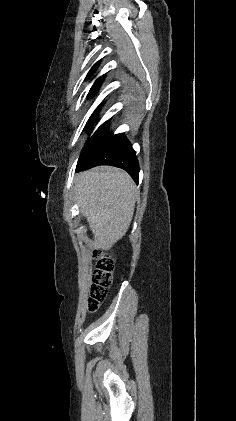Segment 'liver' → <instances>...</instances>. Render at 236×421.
Masks as SVG:
<instances>
[{"label":"liver","mask_w":236,"mask_h":421,"mask_svg":"<svg viewBox=\"0 0 236 421\" xmlns=\"http://www.w3.org/2000/svg\"><path fill=\"white\" fill-rule=\"evenodd\" d=\"M75 200L89 223L98 249H111L127 233L136 198L128 172L115 166H95L75 178Z\"/></svg>","instance_id":"liver-1"}]
</instances>
